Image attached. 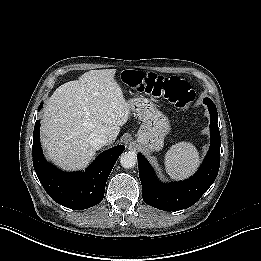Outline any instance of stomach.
I'll use <instances>...</instances> for the list:
<instances>
[{
    "mask_svg": "<svg viewBox=\"0 0 261 261\" xmlns=\"http://www.w3.org/2000/svg\"><path fill=\"white\" fill-rule=\"evenodd\" d=\"M129 104L131 111L142 122L136 139L139 146L148 153L161 150L165 136L170 131L168 117L146 98H133L129 101Z\"/></svg>",
    "mask_w": 261,
    "mask_h": 261,
    "instance_id": "1",
    "label": "stomach"
}]
</instances>
